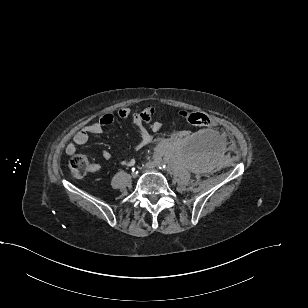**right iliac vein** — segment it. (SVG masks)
Segmentation results:
<instances>
[{
    "label": "right iliac vein",
    "mask_w": 308,
    "mask_h": 308,
    "mask_svg": "<svg viewBox=\"0 0 308 308\" xmlns=\"http://www.w3.org/2000/svg\"><path fill=\"white\" fill-rule=\"evenodd\" d=\"M131 175H132L133 178H135L137 176V173L136 172H132Z\"/></svg>",
    "instance_id": "63e3f726"
}]
</instances>
